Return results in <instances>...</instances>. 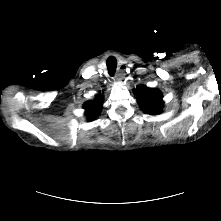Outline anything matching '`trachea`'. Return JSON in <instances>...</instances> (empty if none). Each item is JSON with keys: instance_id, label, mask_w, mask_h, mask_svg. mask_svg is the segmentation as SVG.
<instances>
[{"instance_id": "1", "label": "trachea", "mask_w": 221, "mask_h": 221, "mask_svg": "<svg viewBox=\"0 0 221 221\" xmlns=\"http://www.w3.org/2000/svg\"><path fill=\"white\" fill-rule=\"evenodd\" d=\"M107 68L109 75H114L116 68H117V61L114 57H110L107 60Z\"/></svg>"}]
</instances>
